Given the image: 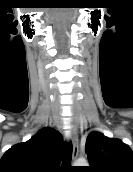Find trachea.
<instances>
[{"mask_svg": "<svg viewBox=\"0 0 133 172\" xmlns=\"http://www.w3.org/2000/svg\"><path fill=\"white\" fill-rule=\"evenodd\" d=\"M71 159H72V144L70 142V143L66 144L64 147L62 164L64 166H70Z\"/></svg>", "mask_w": 133, "mask_h": 172, "instance_id": "obj_1", "label": "trachea"}]
</instances>
